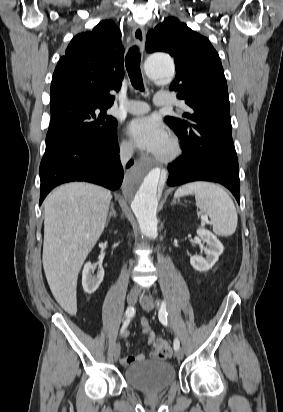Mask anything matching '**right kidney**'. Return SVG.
I'll return each mask as SVG.
<instances>
[{
	"label": "right kidney",
	"mask_w": 283,
	"mask_h": 412,
	"mask_svg": "<svg viewBox=\"0 0 283 412\" xmlns=\"http://www.w3.org/2000/svg\"><path fill=\"white\" fill-rule=\"evenodd\" d=\"M97 269V264H91L90 262L84 265L82 271V286L85 293L92 294L94 293L104 277V269L102 266L98 267L96 275L94 271Z\"/></svg>",
	"instance_id": "obj_1"
}]
</instances>
